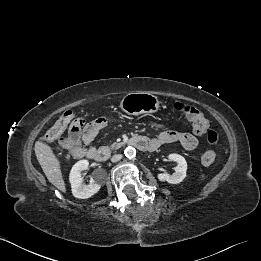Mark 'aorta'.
<instances>
[{
    "mask_svg": "<svg viewBox=\"0 0 261 261\" xmlns=\"http://www.w3.org/2000/svg\"><path fill=\"white\" fill-rule=\"evenodd\" d=\"M124 154L127 158H133L136 156V149L132 146L126 147Z\"/></svg>",
    "mask_w": 261,
    "mask_h": 261,
    "instance_id": "aorta-1",
    "label": "aorta"
}]
</instances>
